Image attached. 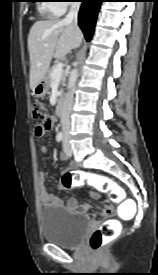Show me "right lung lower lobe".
Wrapping results in <instances>:
<instances>
[{
  "mask_svg": "<svg viewBox=\"0 0 158 275\" xmlns=\"http://www.w3.org/2000/svg\"><path fill=\"white\" fill-rule=\"evenodd\" d=\"M82 5L79 11V26L82 29L87 41L93 35L96 18L103 0H81Z\"/></svg>",
  "mask_w": 158,
  "mask_h": 275,
  "instance_id": "obj_1",
  "label": "right lung lower lobe"
}]
</instances>
